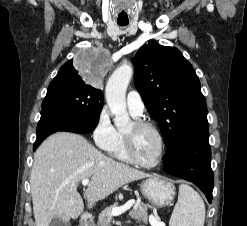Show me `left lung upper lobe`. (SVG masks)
Returning a JSON list of instances; mask_svg holds the SVG:
<instances>
[{
    "label": "left lung upper lobe",
    "mask_w": 247,
    "mask_h": 226,
    "mask_svg": "<svg viewBox=\"0 0 247 226\" xmlns=\"http://www.w3.org/2000/svg\"><path fill=\"white\" fill-rule=\"evenodd\" d=\"M135 86L159 121L167 150L193 132L207 130V105L192 65L174 47L150 42L136 53Z\"/></svg>",
    "instance_id": "5c2ea615"
}]
</instances>
